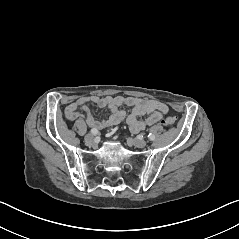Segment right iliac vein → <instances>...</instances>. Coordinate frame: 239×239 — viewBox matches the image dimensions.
<instances>
[{
  "label": "right iliac vein",
  "instance_id": "obj_1",
  "mask_svg": "<svg viewBox=\"0 0 239 239\" xmlns=\"http://www.w3.org/2000/svg\"><path fill=\"white\" fill-rule=\"evenodd\" d=\"M84 140H85V143H86L87 145H92V144H94V137H93L91 134H87V135L85 136Z\"/></svg>",
  "mask_w": 239,
  "mask_h": 239
}]
</instances>
